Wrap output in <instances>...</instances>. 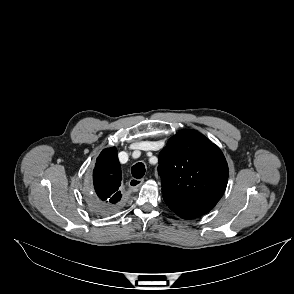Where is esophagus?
Returning <instances> with one entry per match:
<instances>
[{"label": "esophagus", "instance_id": "34e87169", "mask_svg": "<svg viewBox=\"0 0 294 294\" xmlns=\"http://www.w3.org/2000/svg\"><path fill=\"white\" fill-rule=\"evenodd\" d=\"M144 182L143 178L137 179V178H131L129 180V187L133 190H137Z\"/></svg>", "mask_w": 294, "mask_h": 294}]
</instances>
